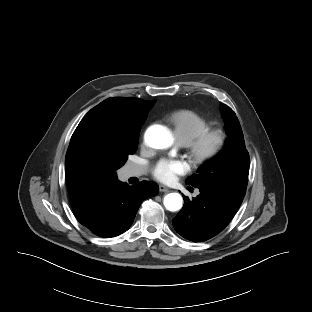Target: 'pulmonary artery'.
I'll return each instance as SVG.
<instances>
[{
	"mask_svg": "<svg viewBox=\"0 0 312 312\" xmlns=\"http://www.w3.org/2000/svg\"><path fill=\"white\" fill-rule=\"evenodd\" d=\"M144 169L140 166L137 165H131L127 169V176L132 177V176H139L144 173Z\"/></svg>",
	"mask_w": 312,
	"mask_h": 312,
	"instance_id": "e3ab8cb5",
	"label": "pulmonary artery"
}]
</instances>
